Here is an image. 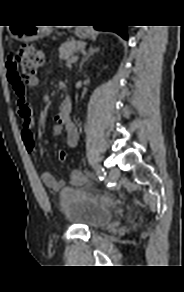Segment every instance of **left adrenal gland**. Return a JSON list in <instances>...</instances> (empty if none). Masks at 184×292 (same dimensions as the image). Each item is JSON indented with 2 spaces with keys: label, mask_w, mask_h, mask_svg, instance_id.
<instances>
[{
  "label": "left adrenal gland",
  "mask_w": 184,
  "mask_h": 292,
  "mask_svg": "<svg viewBox=\"0 0 184 292\" xmlns=\"http://www.w3.org/2000/svg\"><path fill=\"white\" fill-rule=\"evenodd\" d=\"M99 51V48H93L90 47L88 52L84 55V58L82 59L80 66H79V72L82 70V66L85 61H87L91 56H93L95 53Z\"/></svg>",
  "instance_id": "a2214340"
}]
</instances>
